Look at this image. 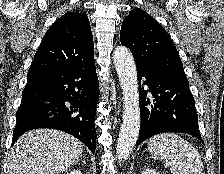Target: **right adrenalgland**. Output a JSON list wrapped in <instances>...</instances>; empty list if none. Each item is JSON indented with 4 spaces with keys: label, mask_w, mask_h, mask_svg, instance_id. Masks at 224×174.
<instances>
[{
    "label": "right adrenal gland",
    "mask_w": 224,
    "mask_h": 174,
    "mask_svg": "<svg viewBox=\"0 0 224 174\" xmlns=\"http://www.w3.org/2000/svg\"><path fill=\"white\" fill-rule=\"evenodd\" d=\"M80 161H83V164L86 165V161L82 156L77 160V163H79Z\"/></svg>",
    "instance_id": "1"
}]
</instances>
